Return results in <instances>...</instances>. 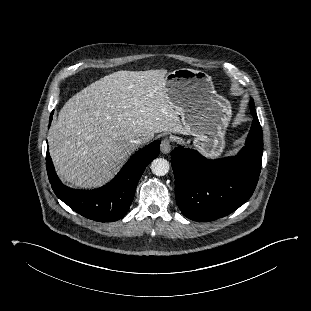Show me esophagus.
Wrapping results in <instances>:
<instances>
[{"label":"esophagus","instance_id":"esophagus-1","mask_svg":"<svg viewBox=\"0 0 311 311\" xmlns=\"http://www.w3.org/2000/svg\"><path fill=\"white\" fill-rule=\"evenodd\" d=\"M160 148H161V152H162L163 154L169 153L170 150H171V140H170L169 138H164V139L161 141Z\"/></svg>","mask_w":311,"mask_h":311}]
</instances>
